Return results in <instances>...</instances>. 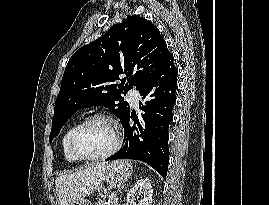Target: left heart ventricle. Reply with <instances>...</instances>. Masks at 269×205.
<instances>
[{"mask_svg": "<svg viewBox=\"0 0 269 205\" xmlns=\"http://www.w3.org/2000/svg\"><path fill=\"white\" fill-rule=\"evenodd\" d=\"M114 144L110 126L94 121L84 126L76 137V148L84 156H95L108 151Z\"/></svg>", "mask_w": 269, "mask_h": 205, "instance_id": "1", "label": "left heart ventricle"}]
</instances>
